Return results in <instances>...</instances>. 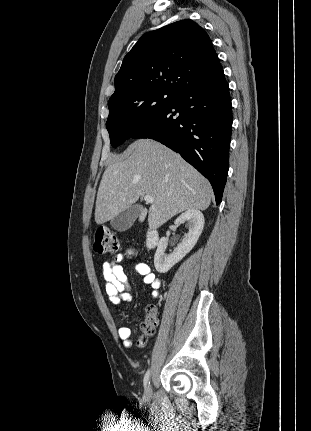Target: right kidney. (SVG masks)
<instances>
[{
  "label": "right kidney",
  "mask_w": 311,
  "mask_h": 431,
  "mask_svg": "<svg viewBox=\"0 0 311 431\" xmlns=\"http://www.w3.org/2000/svg\"><path fill=\"white\" fill-rule=\"evenodd\" d=\"M184 221H188L189 231L185 233V237H183L181 243H179L178 247H175L172 253H164L168 243L167 237H161L158 243L154 255V265L160 273H166L177 261L183 259L184 255L189 253L190 249L197 243V239L200 233H202L204 227V216L202 212H199V210H187V212L177 217L174 223L175 225H180V223H184Z\"/></svg>",
  "instance_id": "ca27d5eb"
}]
</instances>
